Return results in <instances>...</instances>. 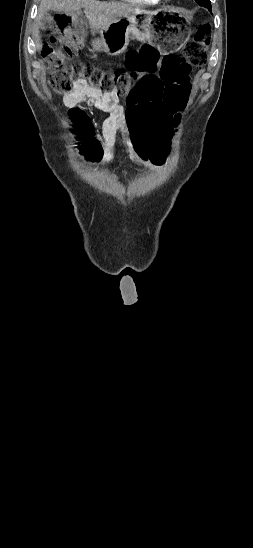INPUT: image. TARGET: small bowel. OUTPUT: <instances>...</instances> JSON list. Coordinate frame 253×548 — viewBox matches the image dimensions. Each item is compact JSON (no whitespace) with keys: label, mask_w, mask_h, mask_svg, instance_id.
Here are the masks:
<instances>
[{"label":"small bowel","mask_w":253,"mask_h":548,"mask_svg":"<svg viewBox=\"0 0 253 548\" xmlns=\"http://www.w3.org/2000/svg\"><path fill=\"white\" fill-rule=\"evenodd\" d=\"M153 60H167L159 59ZM64 103L67 106H76L86 104L89 107L96 108L108 116L101 125L100 155L96 159L100 164H107L114 158L116 134L121 133L125 146L126 157L128 160L141 165L158 169L160 165H152L151 159L138 158L134 142L131 140L129 126L126 125L127 107L119 103V97L116 92H103L97 88L89 86L85 80L79 79L76 81L73 89L64 96ZM167 144V142H166Z\"/></svg>","instance_id":"c3829d8e"}]
</instances>
